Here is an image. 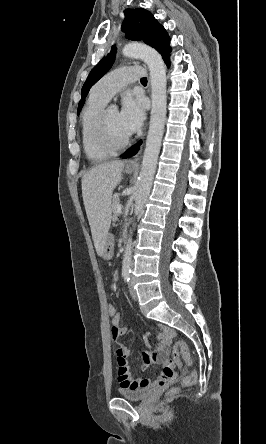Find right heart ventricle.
Segmentation results:
<instances>
[{
	"mask_svg": "<svg viewBox=\"0 0 266 444\" xmlns=\"http://www.w3.org/2000/svg\"><path fill=\"white\" fill-rule=\"evenodd\" d=\"M107 101L93 92L91 93L81 117V141L86 156L92 161H102L109 158L112 152L104 150L97 146L93 140V125L105 108Z\"/></svg>",
	"mask_w": 266,
	"mask_h": 444,
	"instance_id": "obj_1",
	"label": "right heart ventricle"
}]
</instances>
